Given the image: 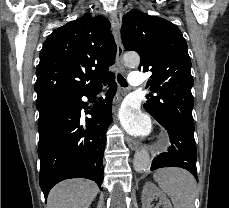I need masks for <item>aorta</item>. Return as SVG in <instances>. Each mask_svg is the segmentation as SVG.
Listing matches in <instances>:
<instances>
[{
	"label": "aorta",
	"instance_id": "1",
	"mask_svg": "<svg viewBox=\"0 0 229 208\" xmlns=\"http://www.w3.org/2000/svg\"><path fill=\"white\" fill-rule=\"evenodd\" d=\"M124 61L128 67H137L140 63V58L136 53H127L124 55ZM150 156L147 150L140 149L134 155L133 167L136 172H143L150 166Z\"/></svg>",
	"mask_w": 229,
	"mask_h": 208
}]
</instances>
